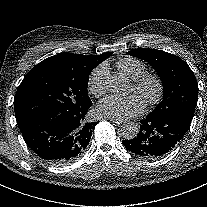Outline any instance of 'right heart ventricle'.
Wrapping results in <instances>:
<instances>
[{
    "instance_id": "1",
    "label": "right heart ventricle",
    "mask_w": 207,
    "mask_h": 207,
    "mask_svg": "<svg viewBox=\"0 0 207 207\" xmlns=\"http://www.w3.org/2000/svg\"><path fill=\"white\" fill-rule=\"evenodd\" d=\"M116 67L132 80H137L147 71L146 66L135 58L120 59L116 62Z\"/></svg>"
}]
</instances>
